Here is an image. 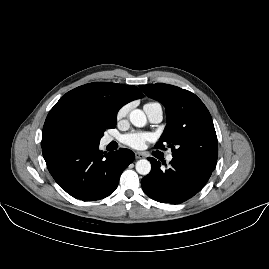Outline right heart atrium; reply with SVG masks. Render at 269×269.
Instances as JSON below:
<instances>
[{
	"label": "right heart atrium",
	"instance_id": "obj_1",
	"mask_svg": "<svg viewBox=\"0 0 269 269\" xmlns=\"http://www.w3.org/2000/svg\"><path fill=\"white\" fill-rule=\"evenodd\" d=\"M130 109H131V105L130 104H125L122 107H120L119 110L116 113V119H117V121L119 122L123 118L127 117L128 114H129Z\"/></svg>",
	"mask_w": 269,
	"mask_h": 269
}]
</instances>
